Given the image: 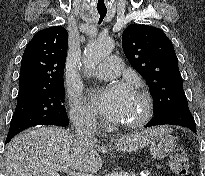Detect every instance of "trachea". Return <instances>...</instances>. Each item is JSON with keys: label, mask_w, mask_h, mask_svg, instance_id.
I'll list each match as a JSON object with an SVG mask.
<instances>
[{"label": "trachea", "mask_w": 205, "mask_h": 176, "mask_svg": "<svg viewBox=\"0 0 205 176\" xmlns=\"http://www.w3.org/2000/svg\"><path fill=\"white\" fill-rule=\"evenodd\" d=\"M107 10H99L98 9V14H99V24L103 21L104 17L106 16Z\"/></svg>", "instance_id": "1"}]
</instances>
